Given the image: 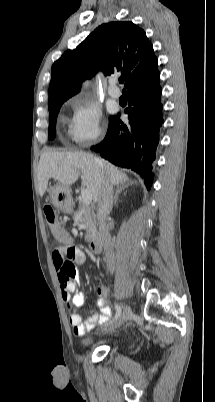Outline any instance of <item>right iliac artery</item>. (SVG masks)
I'll use <instances>...</instances> for the list:
<instances>
[{
	"label": "right iliac artery",
	"mask_w": 215,
	"mask_h": 402,
	"mask_svg": "<svg viewBox=\"0 0 215 402\" xmlns=\"http://www.w3.org/2000/svg\"><path fill=\"white\" fill-rule=\"evenodd\" d=\"M115 310H116V314H115V317H114L113 321L117 320V319L120 317L122 308H121L120 305L115 304ZM113 321H112V322H113ZM112 322H111V323H112Z\"/></svg>",
	"instance_id": "82829eb1"
}]
</instances>
